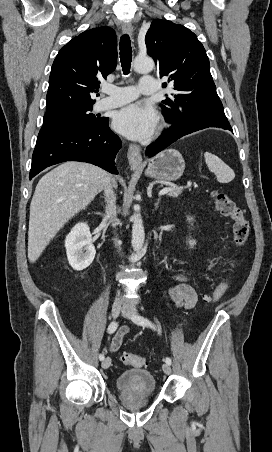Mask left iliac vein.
<instances>
[{"label": "left iliac vein", "mask_w": 272, "mask_h": 452, "mask_svg": "<svg viewBox=\"0 0 272 452\" xmlns=\"http://www.w3.org/2000/svg\"><path fill=\"white\" fill-rule=\"evenodd\" d=\"M136 314H137L136 309H134V308H132V307H130V306H124L123 309H122V315H123L124 317H126L127 319H131V320H132L133 317H134ZM162 369H163V372H164L166 375H170V374H171V366H170L169 364L164 363V364L162 365Z\"/></svg>", "instance_id": "4c4485c4"}]
</instances>
